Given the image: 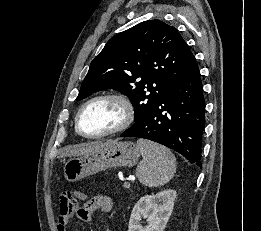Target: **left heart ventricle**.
<instances>
[{
  "label": "left heart ventricle",
  "instance_id": "obj_1",
  "mask_svg": "<svg viewBox=\"0 0 261 231\" xmlns=\"http://www.w3.org/2000/svg\"><path fill=\"white\" fill-rule=\"evenodd\" d=\"M124 118L121 105L114 100H100L82 113L80 126L87 134H99L119 126Z\"/></svg>",
  "mask_w": 261,
  "mask_h": 231
}]
</instances>
